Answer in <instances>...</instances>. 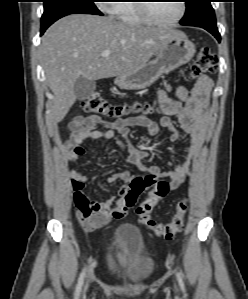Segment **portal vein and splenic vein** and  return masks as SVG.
I'll return each mask as SVG.
<instances>
[{"mask_svg": "<svg viewBox=\"0 0 248 299\" xmlns=\"http://www.w3.org/2000/svg\"><path fill=\"white\" fill-rule=\"evenodd\" d=\"M110 55V51L109 50H105L102 53V57H108Z\"/></svg>", "mask_w": 248, "mask_h": 299, "instance_id": "1", "label": "portal vein and splenic vein"}]
</instances>
